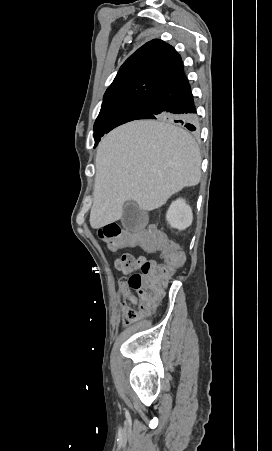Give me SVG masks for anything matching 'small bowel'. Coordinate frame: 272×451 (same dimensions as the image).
Segmentation results:
<instances>
[{
	"instance_id": "1",
	"label": "small bowel",
	"mask_w": 272,
	"mask_h": 451,
	"mask_svg": "<svg viewBox=\"0 0 272 451\" xmlns=\"http://www.w3.org/2000/svg\"><path fill=\"white\" fill-rule=\"evenodd\" d=\"M131 273H132V270H125V272L123 273V275H125V276H123L119 279V302H120L122 311H137L138 320H139L144 316V313L146 312V310H142V309L136 310L129 306V303H132V304L137 303V300H134L133 295H129V292H128V289L126 286L128 277H129V275H131Z\"/></svg>"
}]
</instances>
